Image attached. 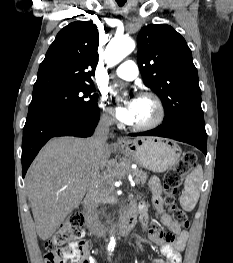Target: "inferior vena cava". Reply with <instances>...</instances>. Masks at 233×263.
Masks as SVG:
<instances>
[{
    "mask_svg": "<svg viewBox=\"0 0 233 263\" xmlns=\"http://www.w3.org/2000/svg\"><path fill=\"white\" fill-rule=\"evenodd\" d=\"M113 119L107 115H103L95 129V133L91 138V145L95 152V158L98 163L102 162L103 152L107 145L106 140L109 133V127L112 125ZM100 203L99 188L97 186V179L94 180L88 190L84 200V207L89 215L94 219L97 217L98 207Z\"/></svg>",
    "mask_w": 233,
    "mask_h": 263,
    "instance_id": "obj_1",
    "label": "inferior vena cava"
}]
</instances>
